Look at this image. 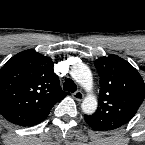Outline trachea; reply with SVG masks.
<instances>
[{"label":"trachea","instance_id":"1","mask_svg":"<svg viewBox=\"0 0 145 145\" xmlns=\"http://www.w3.org/2000/svg\"><path fill=\"white\" fill-rule=\"evenodd\" d=\"M63 89L69 92H75L77 90V86L71 79H66L63 84Z\"/></svg>","mask_w":145,"mask_h":145}]
</instances>
